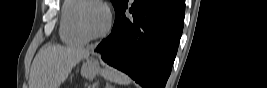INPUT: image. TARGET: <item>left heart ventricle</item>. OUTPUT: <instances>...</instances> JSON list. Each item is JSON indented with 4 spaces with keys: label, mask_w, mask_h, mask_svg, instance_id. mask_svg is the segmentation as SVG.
Here are the masks:
<instances>
[{
    "label": "left heart ventricle",
    "mask_w": 267,
    "mask_h": 88,
    "mask_svg": "<svg viewBox=\"0 0 267 88\" xmlns=\"http://www.w3.org/2000/svg\"><path fill=\"white\" fill-rule=\"evenodd\" d=\"M82 19L86 30L91 34H96L104 28L107 16L101 7L89 4L83 9Z\"/></svg>",
    "instance_id": "1"
}]
</instances>
